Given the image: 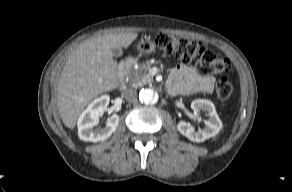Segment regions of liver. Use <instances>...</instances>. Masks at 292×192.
Wrapping results in <instances>:
<instances>
[{
    "mask_svg": "<svg viewBox=\"0 0 292 192\" xmlns=\"http://www.w3.org/2000/svg\"><path fill=\"white\" fill-rule=\"evenodd\" d=\"M137 33L98 36L72 51L57 86V105L63 124L76 126L85 107L98 95L118 87L117 62L112 49L128 48Z\"/></svg>",
    "mask_w": 292,
    "mask_h": 192,
    "instance_id": "6515ba94",
    "label": "liver"
}]
</instances>
